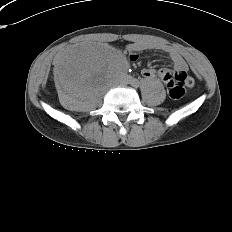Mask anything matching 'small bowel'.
<instances>
[{"label":"small bowel","instance_id":"obj_1","mask_svg":"<svg viewBox=\"0 0 232 232\" xmlns=\"http://www.w3.org/2000/svg\"><path fill=\"white\" fill-rule=\"evenodd\" d=\"M150 49L162 50L164 52H167L169 54L173 66L174 73L167 68H162L157 71L154 69H144L142 70V75L144 78L152 79L157 75L162 81L166 82L168 79H171L174 75H186L187 65L177 49L172 48L170 46H165L158 42L148 40H135L128 46V50L132 53L131 58L133 61L137 59L135 53Z\"/></svg>","mask_w":232,"mask_h":232}]
</instances>
